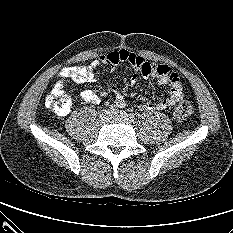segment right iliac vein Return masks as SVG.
Returning <instances> with one entry per match:
<instances>
[{
	"instance_id": "obj_1",
	"label": "right iliac vein",
	"mask_w": 233,
	"mask_h": 233,
	"mask_svg": "<svg viewBox=\"0 0 233 233\" xmlns=\"http://www.w3.org/2000/svg\"><path fill=\"white\" fill-rule=\"evenodd\" d=\"M100 118L101 121L103 123L108 122L111 118H112V114L109 110H104L101 114H100Z\"/></svg>"
}]
</instances>
